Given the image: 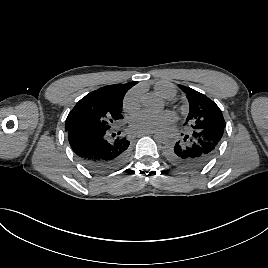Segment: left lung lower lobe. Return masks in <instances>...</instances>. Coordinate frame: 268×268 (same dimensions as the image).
<instances>
[{
  "label": "left lung lower lobe",
  "instance_id": "obj_1",
  "mask_svg": "<svg viewBox=\"0 0 268 268\" xmlns=\"http://www.w3.org/2000/svg\"><path fill=\"white\" fill-rule=\"evenodd\" d=\"M224 127L192 131L184 142H176L170 159L183 169H197L208 163L218 151ZM188 138V139H187Z\"/></svg>",
  "mask_w": 268,
  "mask_h": 268
}]
</instances>
